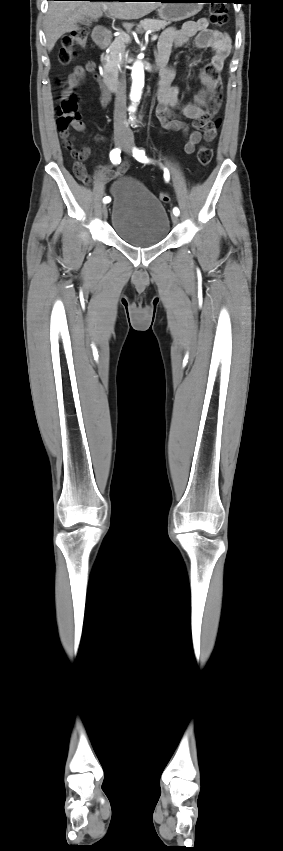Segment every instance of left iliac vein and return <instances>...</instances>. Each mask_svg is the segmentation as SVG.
Segmentation results:
<instances>
[{"mask_svg":"<svg viewBox=\"0 0 283 851\" xmlns=\"http://www.w3.org/2000/svg\"><path fill=\"white\" fill-rule=\"evenodd\" d=\"M123 149L127 154H131L132 144L131 143L124 144ZM171 219H172V222H173L174 225L179 222V218H178L177 215H172Z\"/></svg>","mask_w":283,"mask_h":851,"instance_id":"4c4485c4","label":"left iliac vein"}]
</instances>
